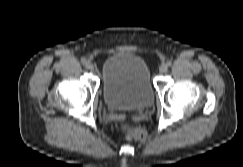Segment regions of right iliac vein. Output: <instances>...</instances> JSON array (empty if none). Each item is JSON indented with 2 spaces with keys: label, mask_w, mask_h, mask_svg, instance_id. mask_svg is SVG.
Listing matches in <instances>:
<instances>
[{
  "label": "right iliac vein",
  "mask_w": 243,
  "mask_h": 167,
  "mask_svg": "<svg viewBox=\"0 0 243 167\" xmlns=\"http://www.w3.org/2000/svg\"><path fill=\"white\" fill-rule=\"evenodd\" d=\"M85 66H86V68H87L88 70H93V69H94V65H93V63L90 62V61L86 62Z\"/></svg>",
  "instance_id": "obj_1"
}]
</instances>
